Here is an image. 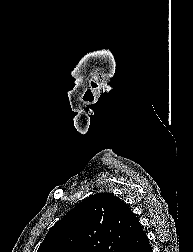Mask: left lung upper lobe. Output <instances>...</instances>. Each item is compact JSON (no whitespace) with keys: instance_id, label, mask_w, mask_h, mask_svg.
I'll return each mask as SVG.
<instances>
[{"instance_id":"obj_1","label":"left lung upper lobe","mask_w":193,"mask_h":252,"mask_svg":"<svg viewBox=\"0 0 193 252\" xmlns=\"http://www.w3.org/2000/svg\"><path fill=\"white\" fill-rule=\"evenodd\" d=\"M138 224L120 198L97 193L52 226L37 252H123Z\"/></svg>"}]
</instances>
